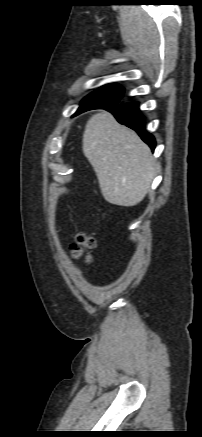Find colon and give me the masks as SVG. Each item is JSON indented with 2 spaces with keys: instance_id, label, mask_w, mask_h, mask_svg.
I'll return each instance as SVG.
<instances>
[{
  "instance_id": "1",
  "label": "colon",
  "mask_w": 202,
  "mask_h": 437,
  "mask_svg": "<svg viewBox=\"0 0 202 437\" xmlns=\"http://www.w3.org/2000/svg\"><path fill=\"white\" fill-rule=\"evenodd\" d=\"M95 246V239L83 232L76 235L75 241L70 245V252L74 258L83 257L85 262L90 261V256L85 254L87 250Z\"/></svg>"
}]
</instances>
